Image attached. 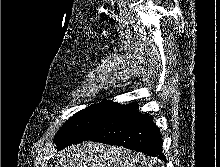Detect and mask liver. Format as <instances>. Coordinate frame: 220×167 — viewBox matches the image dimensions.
Masks as SVG:
<instances>
[{
	"label": "liver",
	"mask_w": 220,
	"mask_h": 167,
	"mask_svg": "<svg viewBox=\"0 0 220 167\" xmlns=\"http://www.w3.org/2000/svg\"><path fill=\"white\" fill-rule=\"evenodd\" d=\"M55 167H147L145 155L129 149L83 142L65 148Z\"/></svg>",
	"instance_id": "liver-1"
}]
</instances>
